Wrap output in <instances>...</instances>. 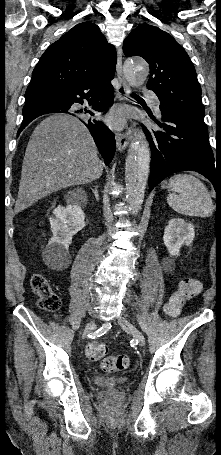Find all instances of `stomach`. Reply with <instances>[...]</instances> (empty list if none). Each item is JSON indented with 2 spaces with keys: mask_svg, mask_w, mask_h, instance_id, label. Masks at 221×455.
<instances>
[{
  "mask_svg": "<svg viewBox=\"0 0 221 455\" xmlns=\"http://www.w3.org/2000/svg\"><path fill=\"white\" fill-rule=\"evenodd\" d=\"M162 187H163V188H166V187H168V186H167L166 183H164V184H162Z\"/></svg>",
  "mask_w": 221,
  "mask_h": 455,
  "instance_id": "obj_1",
  "label": "stomach"
}]
</instances>
